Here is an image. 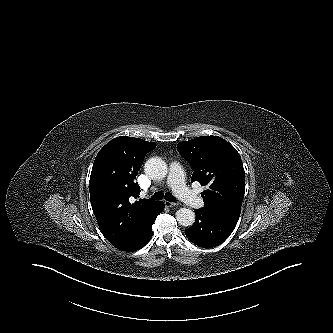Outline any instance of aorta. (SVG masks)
<instances>
[{
  "label": "aorta",
  "mask_w": 333,
  "mask_h": 333,
  "mask_svg": "<svg viewBox=\"0 0 333 333\" xmlns=\"http://www.w3.org/2000/svg\"><path fill=\"white\" fill-rule=\"evenodd\" d=\"M144 170L153 179L166 177L168 169L164 160L159 157H152L145 163ZM177 222L182 226H191L195 221V213L188 208H180L176 212Z\"/></svg>",
  "instance_id": "1"
}]
</instances>
